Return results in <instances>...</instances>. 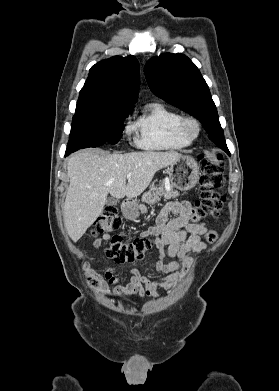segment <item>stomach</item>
<instances>
[{
  "label": "stomach",
  "mask_w": 279,
  "mask_h": 391,
  "mask_svg": "<svg viewBox=\"0 0 279 391\" xmlns=\"http://www.w3.org/2000/svg\"><path fill=\"white\" fill-rule=\"evenodd\" d=\"M169 177L173 187L180 191H188L199 180V166L192 157L182 156L170 165ZM122 213L129 220H135L139 216L138 207L134 203L124 204Z\"/></svg>",
  "instance_id": "obj_1"
}]
</instances>
